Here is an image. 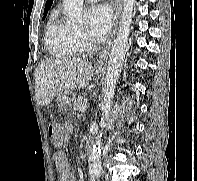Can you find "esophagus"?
<instances>
[{
	"label": "esophagus",
	"instance_id": "esophagus-1",
	"mask_svg": "<svg viewBox=\"0 0 197 181\" xmlns=\"http://www.w3.org/2000/svg\"><path fill=\"white\" fill-rule=\"evenodd\" d=\"M121 8H122V0H115V4H114V11L115 12H114V18H113L112 34H111L109 40L107 41L106 47L102 50V52L99 56V59H98L97 65H96L97 68L104 67V64L109 56L111 45L113 43V39H114L115 33L117 31L118 20H119Z\"/></svg>",
	"mask_w": 197,
	"mask_h": 181
}]
</instances>
